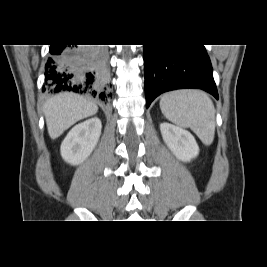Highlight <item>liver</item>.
I'll return each instance as SVG.
<instances>
[{
  "label": "liver",
  "mask_w": 267,
  "mask_h": 267,
  "mask_svg": "<svg viewBox=\"0 0 267 267\" xmlns=\"http://www.w3.org/2000/svg\"><path fill=\"white\" fill-rule=\"evenodd\" d=\"M97 105L74 93H61L51 97L44 105L48 133L51 139H56L76 122L95 115Z\"/></svg>",
  "instance_id": "obj_1"
}]
</instances>
